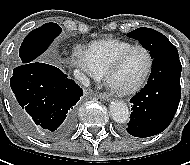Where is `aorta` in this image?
<instances>
[{"label":"aorta","instance_id":"1","mask_svg":"<svg viewBox=\"0 0 190 165\" xmlns=\"http://www.w3.org/2000/svg\"><path fill=\"white\" fill-rule=\"evenodd\" d=\"M112 119L117 123H125L129 120L130 112L128 106L123 101H113L110 104Z\"/></svg>","mask_w":190,"mask_h":165}]
</instances>
